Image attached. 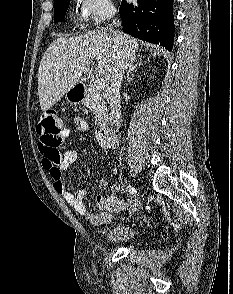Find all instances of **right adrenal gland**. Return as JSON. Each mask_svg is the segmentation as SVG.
Listing matches in <instances>:
<instances>
[{
	"mask_svg": "<svg viewBox=\"0 0 233 294\" xmlns=\"http://www.w3.org/2000/svg\"><path fill=\"white\" fill-rule=\"evenodd\" d=\"M137 60V57L136 56H133L131 59H130V63L128 65V70L126 72V75H125V79H129V76L130 74H132V72L134 70L137 69L138 66H140L141 62H138L137 64L134 65V62Z\"/></svg>",
	"mask_w": 233,
	"mask_h": 294,
	"instance_id": "obj_1",
	"label": "right adrenal gland"
}]
</instances>
